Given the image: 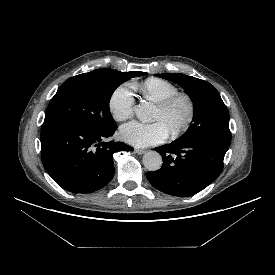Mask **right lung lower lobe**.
Here are the masks:
<instances>
[{
    "label": "right lung lower lobe",
    "mask_w": 275,
    "mask_h": 275,
    "mask_svg": "<svg viewBox=\"0 0 275 275\" xmlns=\"http://www.w3.org/2000/svg\"><path fill=\"white\" fill-rule=\"evenodd\" d=\"M111 128H94L68 121L42 125L41 159L52 179L73 193H91L106 186L114 176L113 154L132 151L123 142H104Z\"/></svg>",
    "instance_id": "obj_1"
}]
</instances>
